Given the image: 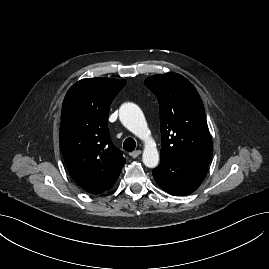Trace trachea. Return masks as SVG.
<instances>
[{"instance_id": "1", "label": "trachea", "mask_w": 269, "mask_h": 269, "mask_svg": "<svg viewBox=\"0 0 269 269\" xmlns=\"http://www.w3.org/2000/svg\"><path fill=\"white\" fill-rule=\"evenodd\" d=\"M136 142L133 138H127L123 143V148L125 151L131 152L135 149Z\"/></svg>"}]
</instances>
